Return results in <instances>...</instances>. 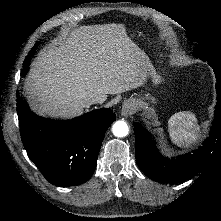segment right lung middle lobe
Wrapping results in <instances>:
<instances>
[{
  "label": "right lung middle lobe",
  "mask_w": 221,
  "mask_h": 221,
  "mask_svg": "<svg viewBox=\"0 0 221 221\" xmlns=\"http://www.w3.org/2000/svg\"><path fill=\"white\" fill-rule=\"evenodd\" d=\"M38 42L34 45V47L31 49V51L29 52V54L27 55L25 61H24V64H23V70L21 71V74L23 76H25L27 74V71L29 69V62H30V59L31 57L34 55V52H35V49L36 47L38 46Z\"/></svg>",
  "instance_id": "dd1d6c3e"
}]
</instances>
